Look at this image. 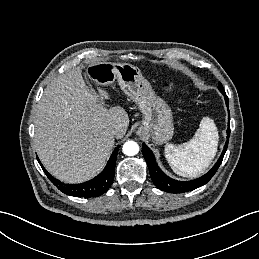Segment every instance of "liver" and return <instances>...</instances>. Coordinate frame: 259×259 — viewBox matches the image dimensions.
I'll list each match as a JSON object with an SVG mask.
<instances>
[{"mask_svg":"<svg viewBox=\"0 0 259 259\" xmlns=\"http://www.w3.org/2000/svg\"><path fill=\"white\" fill-rule=\"evenodd\" d=\"M90 89L80 68L51 82L35 109V147L44 167L57 179L80 183L91 179L104 165L113 145L129 126L125 109H107ZM102 98H108L105 91Z\"/></svg>","mask_w":259,"mask_h":259,"instance_id":"1","label":"liver"}]
</instances>
